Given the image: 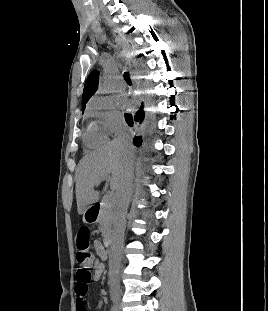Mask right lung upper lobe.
<instances>
[{
    "label": "right lung upper lobe",
    "instance_id": "cb5924a9",
    "mask_svg": "<svg viewBox=\"0 0 268 311\" xmlns=\"http://www.w3.org/2000/svg\"><path fill=\"white\" fill-rule=\"evenodd\" d=\"M99 82V72L93 71L87 78L82 98V110H84L86 103L90 97L97 91Z\"/></svg>",
    "mask_w": 268,
    "mask_h": 311
}]
</instances>
